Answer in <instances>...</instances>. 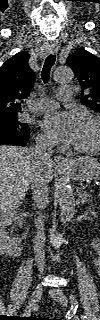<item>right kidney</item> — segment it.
Instances as JSON below:
<instances>
[{"mask_svg":"<svg viewBox=\"0 0 100 320\" xmlns=\"http://www.w3.org/2000/svg\"><path fill=\"white\" fill-rule=\"evenodd\" d=\"M12 224L21 225L17 211L10 209L2 212L0 216V248L3 253L8 255L18 253L22 241L21 237L9 236L8 230Z\"/></svg>","mask_w":100,"mask_h":320,"instance_id":"obj_1","label":"right kidney"}]
</instances>
